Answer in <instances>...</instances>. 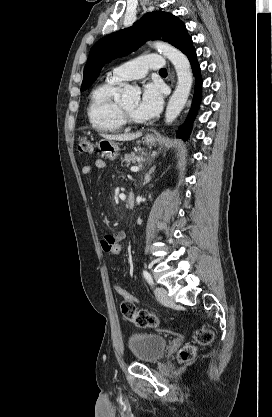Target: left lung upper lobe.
Wrapping results in <instances>:
<instances>
[{
  "mask_svg": "<svg viewBox=\"0 0 272 417\" xmlns=\"http://www.w3.org/2000/svg\"><path fill=\"white\" fill-rule=\"evenodd\" d=\"M150 39L167 41L185 55L194 48L185 25L176 16L162 11L149 12L132 27L114 32L94 44L84 68L81 91L94 83L106 63L128 55Z\"/></svg>",
  "mask_w": 272,
  "mask_h": 417,
  "instance_id": "5c2ea615",
  "label": "left lung upper lobe"
}]
</instances>
